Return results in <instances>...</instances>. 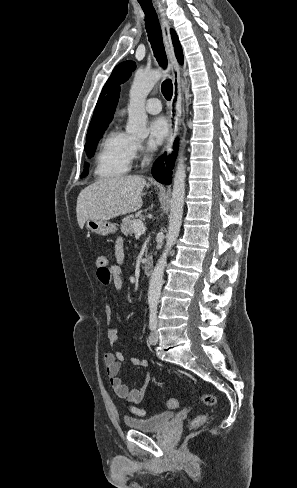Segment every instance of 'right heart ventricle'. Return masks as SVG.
Returning <instances> with one entry per match:
<instances>
[{
  "label": "right heart ventricle",
  "instance_id": "obj_1",
  "mask_svg": "<svg viewBox=\"0 0 297 488\" xmlns=\"http://www.w3.org/2000/svg\"><path fill=\"white\" fill-rule=\"evenodd\" d=\"M131 138L111 130L102 139L95 158V175L99 178H117L127 173L132 162Z\"/></svg>",
  "mask_w": 297,
  "mask_h": 488
}]
</instances>
